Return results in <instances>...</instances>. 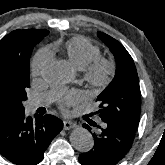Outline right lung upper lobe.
Here are the masks:
<instances>
[{"instance_id": "obj_1", "label": "right lung upper lobe", "mask_w": 165, "mask_h": 165, "mask_svg": "<svg viewBox=\"0 0 165 165\" xmlns=\"http://www.w3.org/2000/svg\"><path fill=\"white\" fill-rule=\"evenodd\" d=\"M49 31L45 29H27V30H15L6 35L2 40H0V55L10 54L11 52L18 49L22 44H24L28 39L34 37H45ZM15 110L7 107L0 102V123L8 120L9 118L16 115Z\"/></svg>"}]
</instances>
